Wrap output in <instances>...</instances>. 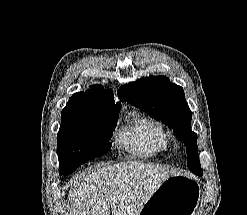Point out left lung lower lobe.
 <instances>
[{"label": "left lung lower lobe", "mask_w": 247, "mask_h": 215, "mask_svg": "<svg viewBox=\"0 0 247 215\" xmlns=\"http://www.w3.org/2000/svg\"><path fill=\"white\" fill-rule=\"evenodd\" d=\"M194 174L201 176L203 174L202 170L195 172Z\"/></svg>", "instance_id": "1"}]
</instances>
